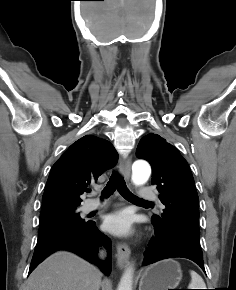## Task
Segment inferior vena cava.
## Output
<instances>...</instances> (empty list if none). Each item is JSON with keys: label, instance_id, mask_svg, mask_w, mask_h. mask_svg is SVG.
<instances>
[{"label": "inferior vena cava", "instance_id": "obj_1", "mask_svg": "<svg viewBox=\"0 0 236 290\" xmlns=\"http://www.w3.org/2000/svg\"><path fill=\"white\" fill-rule=\"evenodd\" d=\"M105 254L103 251L100 252V257L104 258Z\"/></svg>", "mask_w": 236, "mask_h": 290}]
</instances>
